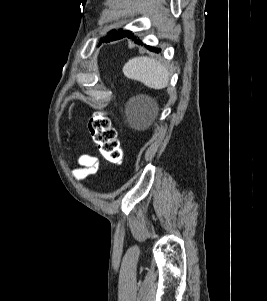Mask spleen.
I'll list each match as a JSON object with an SVG mask.
<instances>
[{
	"mask_svg": "<svg viewBox=\"0 0 267 301\" xmlns=\"http://www.w3.org/2000/svg\"><path fill=\"white\" fill-rule=\"evenodd\" d=\"M124 75L133 80L142 82L152 89H163L169 82V73L159 61L147 57H134L123 67Z\"/></svg>",
	"mask_w": 267,
	"mask_h": 301,
	"instance_id": "obj_1",
	"label": "spleen"
}]
</instances>
